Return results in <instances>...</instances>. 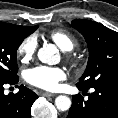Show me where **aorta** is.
Returning a JSON list of instances; mask_svg holds the SVG:
<instances>
[{
    "label": "aorta",
    "mask_w": 118,
    "mask_h": 118,
    "mask_svg": "<svg viewBox=\"0 0 118 118\" xmlns=\"http://www.w3.org/2000/svg\"><path fill=\"white\" fill-rule=\"evenodd\" d=\"M57 48L52 44L44 45L38 51V58L42 63L55 64ZM55 106L59 111H67L71 107V100L69 97L59 95L55 99Z\"/></svg>",
    "instance_id": "obj_1"
}]
</instances>
